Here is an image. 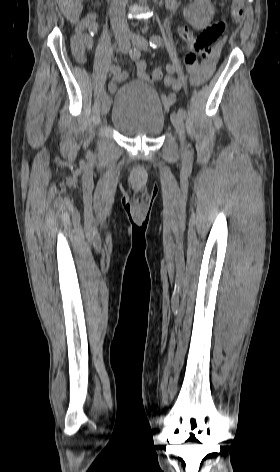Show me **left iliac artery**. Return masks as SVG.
Returning <instances> with one entry per match:
<instances>
[{"instance_id":"obj_1","label":"left iliac artery","mask_w":280,"mask_h":472,"mask_svg":"<svg viewBox=\"0 0 280 472\" xmlns=\"http://www.w3.org/2000/svg\"><path fill=\"white\" fill-rule=\"evenodd\" d=\"M162 44V39L159 36L153 35L150 37V46L153 48H157ZM166 71L170 74L173 75L175 73V66L168 64L166 66ZM171 80V86L172 89L176 92H179L181 89V82L179 79H175L172 76H170ZM178 114L182 116V118L186 117V111L183 108L178 109Z\"/></svg>"}]
</instances>
